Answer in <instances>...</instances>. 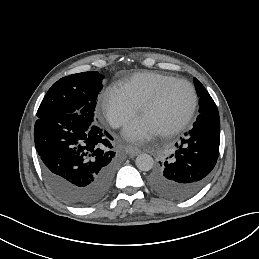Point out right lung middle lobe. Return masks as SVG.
<instances>
[{
    "mask_svg": "<svg viewBox=\"0 0 259 259\" xmlns=\"http://www.w3.org/2000/svg\"><path fill=\"white\" fill-rule=\"evenodd\" d=\"M104 77L96 71L82 72L59 79L43 98L37 117L49 114H72L96 123V99Z\"/></svg>",
    "mask_w": 259,
    "mask_h": 259,
    "instance_id": "right-lung-middle-lobe-1",
    "label": "right lung middle lobe"
}]
</instances>
